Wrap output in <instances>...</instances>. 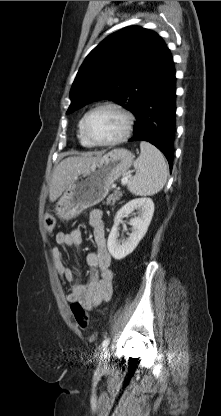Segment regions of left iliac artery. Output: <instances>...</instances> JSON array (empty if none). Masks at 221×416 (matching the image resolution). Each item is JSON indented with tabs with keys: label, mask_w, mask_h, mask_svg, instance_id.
I'll return each mask as SVG.
<instances>
[{
	"label": "left iliac artery",
	"mask_w": 221,
	"mask_h": 416,
	"mask_svg": "<svg viewBox=\"0 0 221 416\" xmlns=\"http://www.w3.org/2000/svg\"><path fill=\"white\" fill-rule=\"evenodd\" d=\"M109 342H110V339H109V338H106V339L102 342L101 349H102L103 351H104V350L108 347Z\"/></svg>",
	"instance_id": "obj_1"
}]
</instances>
